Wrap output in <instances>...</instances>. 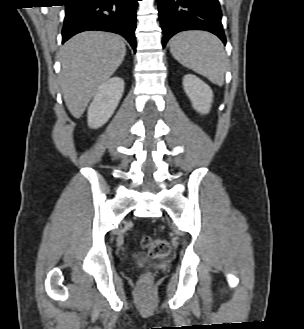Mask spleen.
<instances>
[{
    "instance_id": "3e777b00",
    "label": "spleen",
    "mask_w": 304,
    "mask_h": 329,
    "mask_svg": "<svg viewBox=\"0 0 304 329\" xmlns=\"http://www.w3.org/2000/svg\"><path fill=\"white\" fill-rule=\"evenodd\" d=\"M170 52L183 66L222 86L226 55L221 41L205 31H184L170 41Z\"/></svg>"
}]
</instances>
